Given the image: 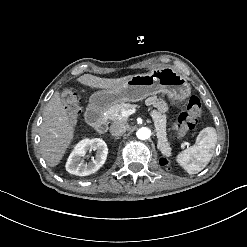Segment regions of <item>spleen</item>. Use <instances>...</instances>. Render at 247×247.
I'll use <instances>...</instances> for the list:
<instances>
[{
	"label": "spleen",
	"instance_id": "3e777b00",
	"mask_svg": "<svg viewBox=\"0 0 247 247\" xmlns=\"http://www.w3.org/2000/svg\"><path fill=\"white\" fill-rule=\"evenodd\" d=\"M217 143V132L214 127L202 129L197 136L196 144L185 149L177 156V162L189 174L202 171L212 158L211 150Z\"/></svg>",
	"mask_w": 247,
	"mask_h": 247
}]
</instances>
